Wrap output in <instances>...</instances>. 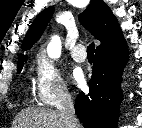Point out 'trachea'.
Returning a JSON list of instances; mask_svg holds the SVG:
<instances>
[{"label": "trachea", "instance_id": "trachea-1", "mask_svg": "<svg viewBox=\"0 0 142 128\" xmlns=\"http://www.w3.org/2000/svg\"><path fill=\"white\" fill-rule=\"evenodd\" d=\"M94 49H95V45L94 43H91L88 47H87V56L88 58H94Z\"/></svg>", "mask_w": 142, "mask_h": 128}]
</instances>
